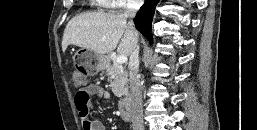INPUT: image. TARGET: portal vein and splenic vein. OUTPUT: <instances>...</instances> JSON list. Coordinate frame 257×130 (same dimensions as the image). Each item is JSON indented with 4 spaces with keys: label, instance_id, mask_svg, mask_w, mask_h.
I'll list each match as a JSON object with an SVG mask.
<instances>
[{
    "label": "portal vein and splenic vein",
    "instance_id": "obj_1",
    "mask_svg": "<svg viewBox=\"0 0 257 130\" xmlns=\"http://www.w3.org/2000/svg\"><path fill=\"white\" fill-rule=\"evenodd\" d=\"M127 61V57L124 56V55H119L117 58H116V62L118 64H124L125 62Z\"/></svg>",
    "mask_w": 257,
    "mask_h": 130
}]
</instances>
